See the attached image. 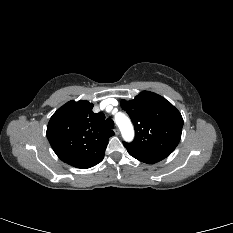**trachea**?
Masks as SVG:
<instances>
[{"instance_id": "3493384b", "label": "trachea", "mask_w": 233, "mask_h": 233, "mask_svg": "<svg viewBox=\"0 0 233 233\" xmlns=\"http://www.w3.org/2000/svg\"><path fill=\"white\" fill-rule=\"evenodd\" d=\"M106 126L109 128V129H113L114 128V121L112 119H107L106 120Z\"/></svg>"}]
</instances>
